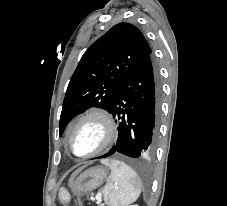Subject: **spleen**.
Returning a JSON list of instances; mask_svg holds the SVG:
<instances>
[{
    "label": "spleen",
    "mask_w": 227,
    "mask_h": 206,
    "mask_svg": "<svg viewBox=\"0 0 227 206\" xmlns=\"http://www.w3.org/2000/svg\"><path fill=\"white\" fill-rule=\"evenodd\" d=\"M108 165L111 174L105 186V199L109 206H128L136 201L141 193V180L137 173L125 163L112 159L103 160ZM63 198L68 195L65 191L61 193Z\"/></svg>",
    "instance_id": "3e777b00"
}]
</instances>
